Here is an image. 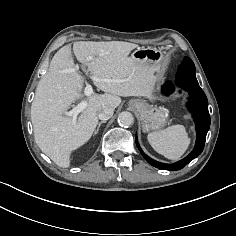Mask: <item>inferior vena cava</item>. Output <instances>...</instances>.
<instances>
[{
    "label": "inferior vena cava",
    "instance_id": "inferior-vena-cava-1",
    "mask_svg": "<svg viewBox=\"0 0 236 236\" xmlns=\"http://www.w3.org/2000/svg\"><path fill=\"white\" fill-rule=\"evenodd\" d=\"M113 113H114L113 108L105 106L99 111L98 118L103 121L108 120L112 117Z\"/></svg>",
    "mask_w": 236,
    "mask_h": 236
}]
</instances>
